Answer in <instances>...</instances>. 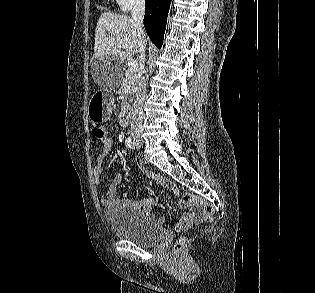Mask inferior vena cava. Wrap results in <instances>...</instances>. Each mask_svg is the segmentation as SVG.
<instances>
[{
  "label": "inferior vena cava",
  "mask_w": 315,
  "mask_h": 293,
  "mask_svg": "<svg viewBox=\"0 0 315 293\" xmlns=\"http://www.w3.org/2000/svg\"><path fill=\"white\" fill-rule=\"evenodd\" d=\"M145 14V0H136L132 9V24L136 32V41L139 50V69L134 84L135 101L132 110L131 135L141 133L143 123V103L146 95V83L143 78L145 67L146 36L143 28Z\"/></svg>",
  "instance_id": "1"
}]
</instances>
